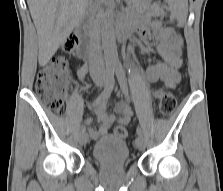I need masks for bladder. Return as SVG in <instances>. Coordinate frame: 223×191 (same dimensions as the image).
<instances>
[{"instance_id": "obj_1", "label": "bladder", "mask_w": 223, "mask_h": 191, "mask_svg": "<svg viewBox=\"0 0 223 191\" xmlns=\"http://www.w3.org/2000/svg\"><path fill=\"white\" fill-rule=\"evenodd\" d=\"M91 152L95 161L106 165L123 164L130 158L128 144L122 138L112 134L96 141Z\"/></svg>"}]
</instances>
